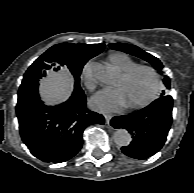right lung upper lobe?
<instances>
[{
  "instance_id": "1",
  "label": "right lung upper lobe",
  "mask_w": 194,
  "mask_h": 193,
  "mask_svg": "<svg viewBox=\"0 0 194 193\" xmlns=\"http://www.w3.org/2000/svg\"><path fill=\"white\" fill-rule=\"evenodd\" d=\"M104 44L61 43L52 46L42 54L30 67L29 71L38 76L46 75L48 70L59 71L75 64H85L104 49ZM38 83V78H34Z\"/></svg>"
}]
</instances>
